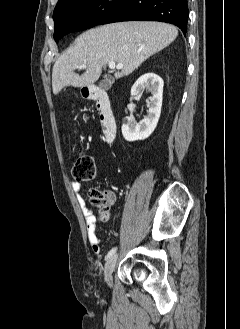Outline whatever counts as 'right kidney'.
I'll return each instance as SVG.
<instances>
[{
	"instance_id": "right-kidney-1",
	"label": "right kidney",
	"mask_w": 240,
	"mask_h": 329,
	"mask_svg": "<svg viewBox=\"0 0 240 329\" xmlns=\"http://www.w3.org/2000/svg\"><path fill=\"white\" fill-rule=\"evenodd\" d=\"M163 85L162 78L155 73H146L134 83L131 88L132 97L138 96L144 89L150 91L152 97L148 115L141 122L137 123L132 116L123 120L122 135L125 140H144L152 134L161 114Z\"/></svg>"
}]
</instances>
